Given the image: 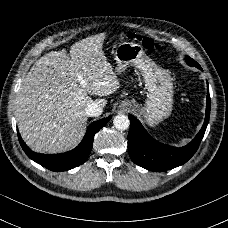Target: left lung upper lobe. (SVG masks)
Returning <instances> with one entry per match:
<instances>
[{"label": "left lung upper lobe", "mask_w": 228, "mask_h": 228, "mask_svg": "<svg viewBox=\"0 0 228 228\" xmlns=\"http://www.w3.org/2000/svg\"><path fill=\"white\" fill-rule=\"evenodd\" d=\"M185 61H186V63H187L188 65H190V66H195V67L201 69V67L199 66V64L196 63V62H195L193 59H191L190 57L187 56V57L185 58Z\"/></svg>", "instance_id": "5c2ea615"}]
</instances>
